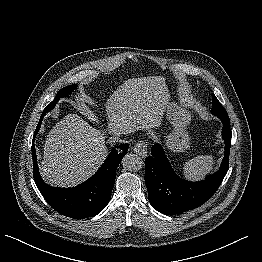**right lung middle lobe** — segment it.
<instances>
[{"instance_id": "1", "label": "right lung middle lobe", "mask_w": 262, "mask_h": 262, "mask_svg": "<svg viewBox=\"0 0 262 262\" xmlns=\"http://www.w3.org/2000/svg\"><path fill=\"white\" fill-rule=\"evenodd\" d=\"M76 87L77 85L74 84V85H69L67 87L62 88L57 93L55 99L44 109V111L49 112L50 110H52L61 97L68 96L76 89Z\"/></svg>"}]
</instances>
